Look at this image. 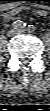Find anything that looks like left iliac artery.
<instances>
[{"label":"left iliac artery","instance_id":"left-iliac-artery-1","mask_svg":"<svg viewBox=\"0 0 50 111\" xmlns=\"http://www.w3.org/2000/svg\"><path fill=\"white\" fill-rule=\"evenodd\" d=\"M28 31H29V32H35V31H36L35 26H33V25H28Z\"/></svg>","mask_w":50,"mask_h":111}]
</instances>
